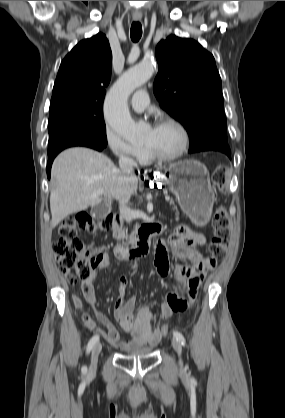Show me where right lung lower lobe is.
Returning <instances> with one entry per match:
<instances>
[{
  "mask_svg": "<svg viewBox=\"0 0 285 418\" xmlns=\"http://www.w3.org/2000/svg\"><path fill=\"white\" fill-rule=\"evenodd\" d=\"M73 146H84V147H89V148H92V149H95V150H98V151H102L106 147V146L101 145L97 142L84 140V141H77V142L71 143V144L59 149L58 151H56L55 153H53L52 155L49 156V160L47 162V176H48V178H50L52 162H53L54 158L56 157V155L59 152H61L62 150L66 149V148H69V147H73Z\"/></svg>",
  "mask_w": 285,
  "mask_h": 418,
  "instance_id": "98d812e1",
  "label": "right lung lower lobe"
}]
</instances>
